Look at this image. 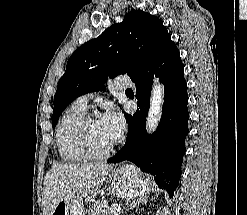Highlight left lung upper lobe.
Masks as SVG:
<instances>
[{
	"instance_id": "left-lung-upper-lobe-1",
	"label": "left lung upper lobe",
	"mask_w": 247,
	"mask_h": 215,
	"mask_svg": "<svg viewBox=\"0 0 247 215\" xmlns=\"http://www.w3.org/2000/svg\"><path fill=\"white\" fill-rule=\"evenodd\" d=\"M171 39L161 19L133 10L122 23L112 25L97 38L80 46L69 58L54 96L52 127L78 96L105 90L108 77L144 71Z\"/></svg>"
}]
</instances>
